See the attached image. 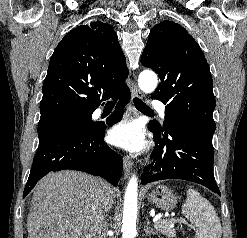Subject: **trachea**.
I'll return each instance as SVG.
<instances>
[{
	"label": "trachea",
	"mask_w": 247,
	"mask_h": 238,
	"mask_svg": "<svg viewBox=\"0 0 247 238\" xmlns=\"http://www.w3.org/2000/svg\"><path fill=\"white\" fill-rule=\"evenodd\" d=\"M134 104L136 105L137 108L142 109V110H151L145 103H143L139 98L135 97L134 98ZM116 101H110L109 103H115Z\"/></svg>",
	"instance_id": "obj_1"
}]
</instances>
